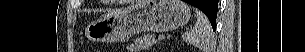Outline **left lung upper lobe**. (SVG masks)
<instances>
[{
	"instance_id": "left-lung-upper-lobe-1",
	"label": "left lung upper lobe",
	"mask_w": 305,
	"mask_h": 52,
	"mask_svg": "<svg viewBox=\"0 0 305 52\" xmlns=\"http://www.w3.org/2000/svg\"><path fill=\"white\" fill-rule=\"evenodd\" d=\"M217 10L218 8L216 10L204 9V13L207 15L212 25L216 24Z\"/></svg>"
}]
</instances>
